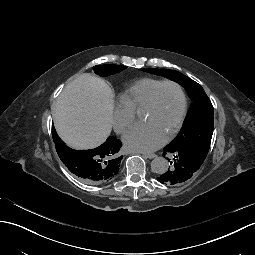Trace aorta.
I'll list each match as a JSON object with an SVG mask.
<instances>
[{
	"label": "aorta",
	"mask_w": 255,
	"mask_h": 255,
	"mask_svg": "<svg viewBox=\"0 0 255 255\" xmlns=\"http://www.w3.org/2000/svg\"><path fill=\"white\" fill-rule=\"evenodd\" d=\"M169 168V162L164 157H155L151 162V169L156 174H163Z\"/></svg>",
	"instance_id": "1"
}]
</instances>
